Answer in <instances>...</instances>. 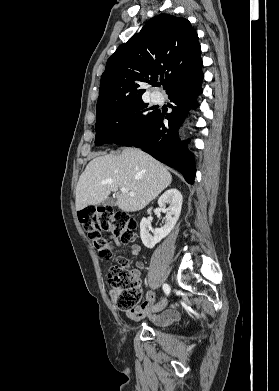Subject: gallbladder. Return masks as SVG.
Instances as JSON below:
<instances>
[{"label": "gallbladder", "mask_w": 279, "mask_h": 391, "mask_svg": "<svg viewBox=\"0 0 279 391\" xmlns=\"http://www.w3.org/2000/svg\"><path fill=\"white\" fill-rule=\"evenodd\" d=\"M101 205L103 206H106V205H109V206H115L116 205V201L115 199L113 198H107L106 200H104Z\"/></svg>", "instance_id": "obj_1"}]
</instances>
